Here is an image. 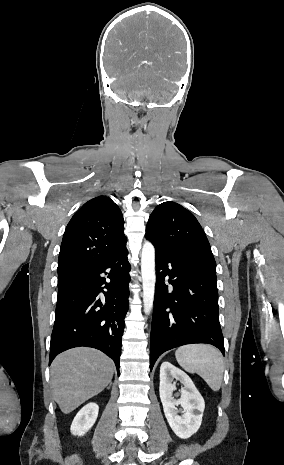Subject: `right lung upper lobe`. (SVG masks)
I'll use <instances>...</instances> for the list:
<instances>
[{
  "label": "right lung upper lobe",
  "mask_w": 284,
  "mask_h": 465,
  "mask_svg": "<svg viewBox=\"0 0 284 465\" xmlns=\"http://www.w3.org/2000/svg\"><path fill=\"white\" fill-rule=\"evenodd\" d=\"M121 210L109 197L86 202L69 221L58 260V278L95 266L126 246Z\"/></svg>",
  "instance_id": "right-lung-upper-lobe-1"
}]
</instances>
